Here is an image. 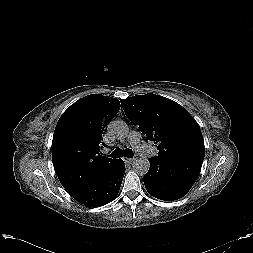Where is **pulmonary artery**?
<instances>
[{
  "label": "pulmonary artery",
  "instance_id": "1",
  "mask_svg": "<svg viewBox=\"0 0 253 253\" xmlns=\"http://www.w3.org/2000/svg\"><path fill=\"white\" fill-rule=\"evenodd\" d=\"M129 143L135 147L141 154L150 152V147L142 142L141 134L133 130L128 137Z\"/></svg>",
  "mask_w": 253,
  "mask_h": 253
}]
</instances>
